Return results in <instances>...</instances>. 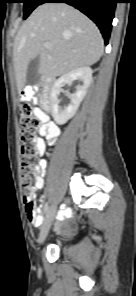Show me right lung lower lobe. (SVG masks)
<instances>
[{
  "label": "right lung lower lobe",
  "mask_w": 136,
  "mask_h": 296,
  "mask_svg": "<svg viewBox=\"0 0 136 296\" xmlns=\"http://www.w3.org/2000/svg\"><path fill=\"white\" fill-rule=\"evenodd\" d=\"M43 3H67L74 6L96 23L108 44L118 0H43Z\"/></svg>",
  "instance_id": "1"
}]
</instances>
